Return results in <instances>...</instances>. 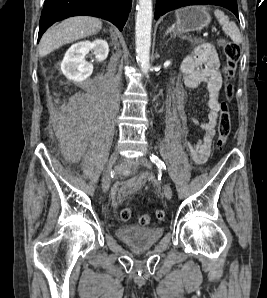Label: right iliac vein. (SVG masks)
<instances>
[{
  "label": "right iliac vein",
  "instance_id": "obj_1",
  "mask_svg": "<svg viewBox=\"0 0 267 298\" xmlns=\"http://www.w3.org/2000/svg\"><path fill=\"white\" fill-rule=\"evenodd\" d=\"M118 152H114L111 154L108 165L106 167V170L104 172L103 178H102V188L104 191H107L110 187V182H111V172L112 169L118 160Z\"/></svg>",
  "mask_w": 267,
  "mask_h": 298
}]
</instances>
